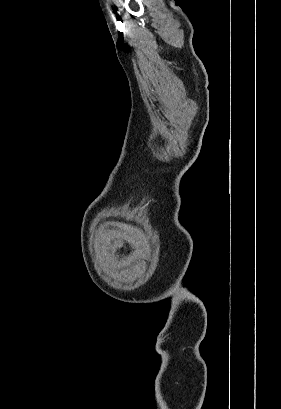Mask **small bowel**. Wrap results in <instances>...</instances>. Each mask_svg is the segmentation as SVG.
Segmentation results:
<instances>
[{
  "mask_svg": "<svg viewBox=\"0 0 281 409\" xmlns=\"http://www.w3.org/2000/svg\"><path fill=\"white\" fill-rule=\"evenodd\" d=\"M111 246L114 248H120L123 246V243L121 241H116L114 244H111Z\"/></svg>",
  "mask_w": 281,
  "mask_h": 409,
  "instance_id": "small-bowel-1",
  "label": "small bowel"
}]
</instances>
